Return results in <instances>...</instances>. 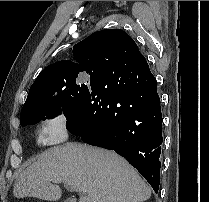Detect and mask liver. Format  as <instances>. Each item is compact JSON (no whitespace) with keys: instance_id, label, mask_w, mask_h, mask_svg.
<instances>
[{"instance_id":"1","label":"liver","mask_w":209,"mask_h":202,"mask_svg":"<svg viewBox=\"0 0 209 202\" xmlns=\"http://www.w3.org/2000/svg\"><path fill=\"white\" fill-rule=\"evenodd\" d=\"M58 178L82 191L79 202H143L151 189L137 171L112 151L77 142L52 147L38 155L15 181L16 198L56 201L62 196Z\"/></svg>"}]
</instances>
